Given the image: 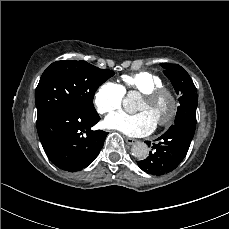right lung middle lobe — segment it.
Segmentation results:
<instances>
[{"label":"right lung middle lobe","mask_w":229,"mask_h":229,"mask_svg":"<svg viewBox=\"0 0 229 229\" xmlns=\"http://www.w3.org/2000/svg\"><path fill=\"white\" fill-rule=\"evenodd\" d=\"M114 72L85 61L52 63L42 74L35 92L37 127L56 111L73 108L87 115L97 114L92 103L98 87Z\"/></svg>","instance_id":"obj_1"}]
</instances>
